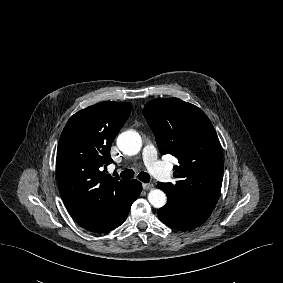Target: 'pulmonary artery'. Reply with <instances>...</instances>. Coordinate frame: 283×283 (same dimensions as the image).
I'll return each mask as SVG.
<instances>
[{
  "instance_id": "1",
  "label": "pulmonary artery",
  "mask_w": 283,
  "mask_h": 283,
  "mask_svg": "<svg viewBox=\"0 0 283 283\" xmlns=\"http://www.w3.org/2000/svg\"><path fill=\"white\" fill-rule=\"evenodd\" d=\"M143 159L150 172L159 180L167 181L170 173L168 168L157 159V150L148 143L143 148Z\"/></svg>"
}]
</instances>
